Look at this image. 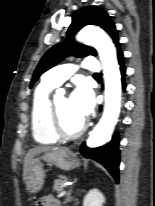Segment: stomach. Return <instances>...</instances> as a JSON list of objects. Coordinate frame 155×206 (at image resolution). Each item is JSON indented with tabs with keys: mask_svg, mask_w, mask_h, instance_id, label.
<instances>
[{
	"mask_svg": "<svg viewBox=\"0 0 155 206\" xmlns=\"http://www.w3.org/2000/svg\"><path fill=\"white\" fill-rule=\"evenodd\" d=\"M41 159L55 164L63 170H71L80 166L77 155L67 148L52 150L41 157L34 158L26 178V186L31 193H37L43 187L45 173L40 162Z\"/></svg>",
	"mask_w": 155,
	"mask_h": 206,
	"instance_id": "obj_1",
	"label": "stomach"
}]
</instances>
